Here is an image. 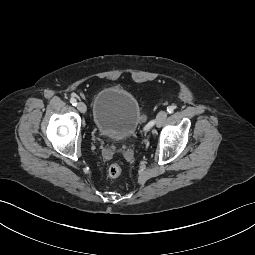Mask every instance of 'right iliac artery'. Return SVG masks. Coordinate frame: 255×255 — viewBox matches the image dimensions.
Segmentation results:
<instances>
[{"label":"right iliac artery","mask_w":255,"mask_h":255,"mask_svg":"<svg viewBox=\"0 0 255 255\" xmlns=\"http://www.w3.org/2000/svg\"><path fill=\"white\" fill-rule=\"evenodd\" d=\"M70 103H71L73 106H76V105H77V100L74 99V98H71V99H70Z\"/></svg>","instance_id":"82829eb1"}]
</instances>
